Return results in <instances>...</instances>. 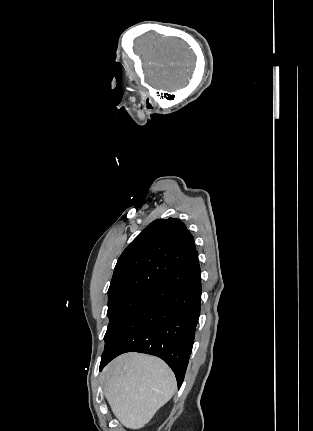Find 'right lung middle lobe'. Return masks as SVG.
<instances>
[{"label": "right lung middle lobe", "instance_id": "1", "mask_svg": "<svg viewBox=\"0 0 313 431\" xmlns=\"http://www.w3.org/2000/svg\"><path fill=\"white\" fill-rule=\"evenodd\" d=\"M149 293L127 292L108 296L109 325L104 337L105 345L111 341L132 312L141 304Z\"/></svg>", "mask_w": 313, "mask_h": 431}]
</instances>
